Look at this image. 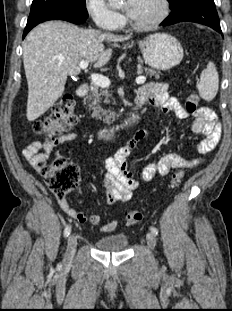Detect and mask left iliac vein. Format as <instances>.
Listing matches in <instances>:
<instances>
[{
    "label": "left iliac vein",
    "instance_id": "4c4485c4",
    "mask_svg": "<svg viewBox=\"0 0 232 311\" xmlns=\"http://www.w3.org/2000/svg\"><path fill=\"white\" fill-rule=\"evenodd\" d=\"M147 245L151 250L155 249L156 246V237L153 233H148L146 237Z\"/></svg>",
    "mask_w": 232,
    "mask_h": 311
}]
</instances>
